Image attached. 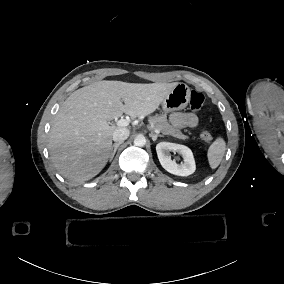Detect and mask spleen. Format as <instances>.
<instances>
[{"mask_svg": "<svg viewBox=\"0 0 284 284\" xmlns=\"http://www.w3.org/2000/svg\"><path fill=\"white\" fill-rule=\"evenodd\" d=\"M226 150V143L222 138H217L209 147L208 149V161L210 167L215 169L219 166L222 161Z\"/></svg>", "mask_w": 284, "mask_h": 284, "instance_id": "obj_1", "label": "spleen"}]
</instances>
